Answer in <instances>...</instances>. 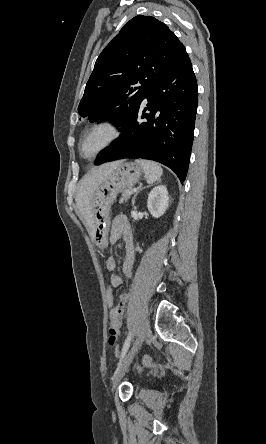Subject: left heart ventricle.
<instances>
[{
    "instance_id": "left-heart-ventricle-1",
    "label": "left heart ventricle",
    "mask_w": 266,
    "mask_h": 444,
    "mask_svg": "<svg viewBox=\"0 0 266 444\" xmlns=\"http://www.w3.org/2000/svg\"><path fill=\"white\" fill-rule=\"evenodd\" d=\"M107 133L103 130L94 132L89 135L84 142V152L87 155H91L95 152L105 141Z\"/></svg>"
}]
</instances>
